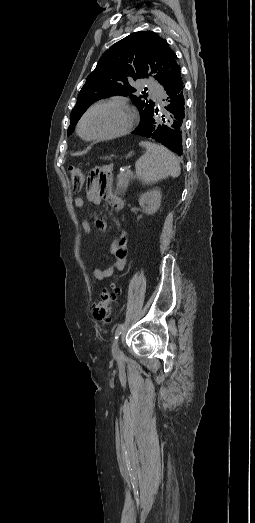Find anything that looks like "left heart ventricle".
<instances>
[{
    "label": "left heart ventricle",
    "instance_id": "left-heart-ventricle-1",
    "mask_svg": "<svg viewBox=\"0 0 255 523\" xmlns=\"http://www.w3.org/2000/svg\"><path fill=\"white\" fill-rule=\"evenodd\" d=\"M130 112L115 107H98L85 118L82 133L87 138L111 135L122 131L130 121Z\"/></svg>",
    "mask_w": 255,
    "mask_h": 523
}]
</instances>
